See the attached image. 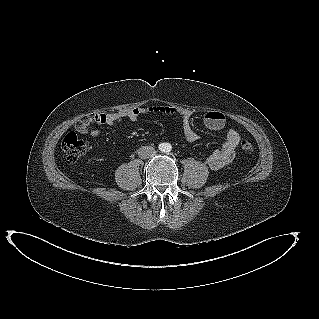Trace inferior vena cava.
<instances>
[{"label":"inferior vena cava","mask_w":319,"mask_h":319,"mask_svg":"<svg viewBox=\"0 0 319 319\" xmlns=\"http://www.w3.org/2000/svg\"><path fill=\"white\" fill-rule=\"evenodd\" d=\"M155 149L152 146H142L138 150V155L142 159H147L154 155Z\"/></svg>","instance_id":"inferior-vena-cava-1"}]
</instances>
